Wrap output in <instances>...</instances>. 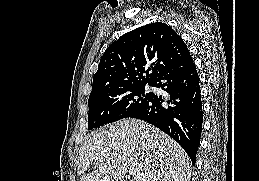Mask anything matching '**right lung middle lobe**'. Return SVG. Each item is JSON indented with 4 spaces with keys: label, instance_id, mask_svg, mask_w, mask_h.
I'll list each match as a JSON object with an SVG mask.
<instances>
[{
    "label": "right lung middle lobe",
    "instance_id": "right-lung-middle-lobe-1",
    "mask_svg": "<svg viewBox=\"0 0 259 181\" xmlns=\"http://www.w3.org/2000/svg\"><path fill=\"white\" fill-rule=\"evenodd\" d=\"M146 84L110 89L89 97L88 130L130 117L151 98ZM152 86V83H149Z\"/></svg>",
    "mask_w": 259,
    "mask_h": 181
}]
</instances>
